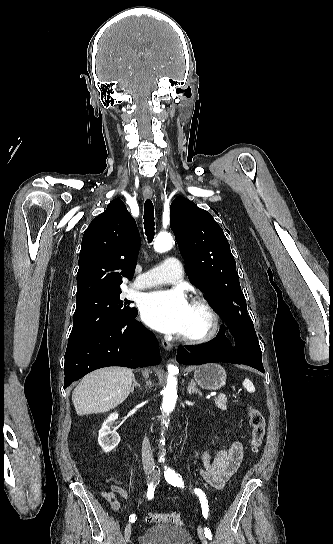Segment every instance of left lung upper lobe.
I'll return each instance as SVG.
<instances>
[{
  "label": "left lung upper lobe",
  "instance_id": "5c2ea615",
  "mask_svg": "<svg viewBox=\"0 0 333 544\" xmlns=\"http://www.w3.org/2000/svg\"><path fill=\"white\" fill-rule=\"evenodd\" d=\"M170 227L187 263L190 281L216 305L230 326L249 321L235 259L211 214L178 196L170 207Z\"/></svg>",
  "mask_w": 333,
  "mask_h": 544
}]
</instances>
